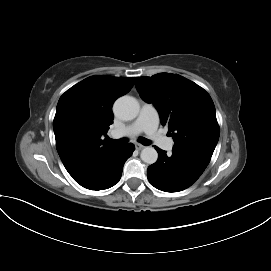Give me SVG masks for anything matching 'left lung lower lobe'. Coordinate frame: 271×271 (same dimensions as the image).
<instances>
[{
  "instance_id": "left-lung-lower-lobe-1",
  "label": "left lung lower lobe",
  "mask_w": 271,
  "mask_h": 271,
  "mask_svg": "<svg viewBox=\"0 0 271 271\" xmlns=\"http://www.w3.org/2000/svg\"><path fill=\"white\" fill-rule=\"evenodd\" d=\"M158 160L148 167L149 182L159 190L178 192L190 187L203 173L211 157L190 150L173 148L172 154L155 147Z\"/></svg>"
}]
</instances>
